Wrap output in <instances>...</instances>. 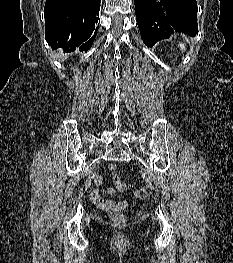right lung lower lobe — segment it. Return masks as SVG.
<instances>
[{
    "label": "right lung lower lobe",
    "mask_w": 233,
    "mask_h": 263,
    "mask_svg": "<svg viewBox=\"0 0 233 263\" xmlns=\"http://www.w3.org/2000/svg\"><path fill=\"white\" fill-rule=\"evenodd\" d=\"M101 0H46L45 39L64 52H87L95 40Z\"/></svg>",
    "instance_id": "right-lung-lower-lobe-1"
}]
</instances>
